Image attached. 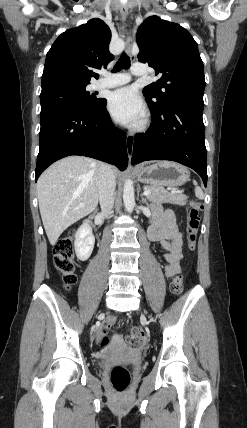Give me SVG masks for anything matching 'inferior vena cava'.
I'll list each match as a JSON object with an SVG mask.
<instances>
[{
  "instance_id": "602c4592",
  "label": "inferior vena cava",
  "mask_w": 247,
  "mask_h": 428,
  "mask_svg": "<svg viewBox=\"0 0 247 428\" xmlns=\"http://www.w3.org/2000/svg\"><path fill=\"white\" fill-rule=\"evenodd\" d=\"M115 187L113 167L109 164L101 163L99 171V201L101 212L105 216H109L112 213Z\"/></svg>"
}]
</instances>
